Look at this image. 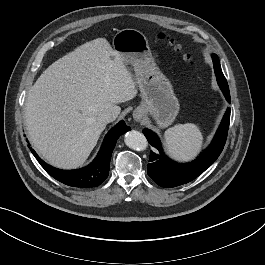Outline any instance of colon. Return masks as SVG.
<instances>
[{
	"instance_id": "obj_1",
	"label": "colon",
	"mask_w": 265,
	"mask_h": 265,
	"mask_svg": "<svg viewBox=\"0 0 265 265\" xmlns=\"http://www.w3.org/2000/svg\"><path fill=\"white\" fill-rule=\"evenodd\" d=\"M160 38L168 42L170 45H172L177 51L182 50L181 45L176 43L175 39H173L172 37L162 34ZM183 58L191 65H194L196 63V56L191 52H185L183 54Z\"/></svg>"
}]
</instances>
